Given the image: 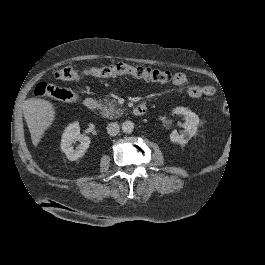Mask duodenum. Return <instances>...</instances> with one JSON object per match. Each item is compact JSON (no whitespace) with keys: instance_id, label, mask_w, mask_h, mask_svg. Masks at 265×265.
Here are the masks:
<instances>
[{"instance_id":"1","label":"duodenum","mask_w":265,"mask_h":265,"mask_svg":"<svg viewBox=\"0 0 265 265\" xmlns=\"http://www.w3.org/2000/svg\"><path fill=\"white\" fill-rule=\"evenodd\" d=\"M84 106L88 110L94 111L98 107V102L94 98L89 97L84 100ZM146 111H147L146 105L144 103H140L134 107L133 114L136 116H142L146 113Z\"/></svg>"}]
</instances>
